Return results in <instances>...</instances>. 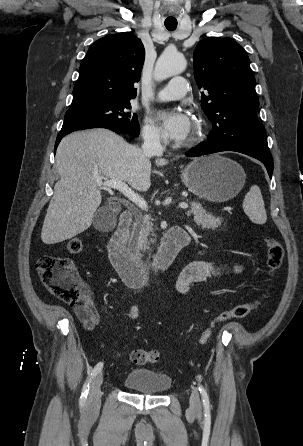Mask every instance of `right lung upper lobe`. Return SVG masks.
I'll use <instances>...</instances> for the list:
<instances>
[{
    "label": "right lung upper lobe",
    "instance_id": "cb5924a9",
    "mask_svg": "<svg viewBox=\"0 0 303 446\" xmlns=\"http://www.w3.org/2000/svg\"><path fill=\"white\" fill-rule=\"evenodd\" d=\"M144 56L141 40L130 32L94 42L80 65L69 109L135 98Z\"/></svg>",
    "mask_w": 303,
    "mask_h": 446
}]
</instances>
